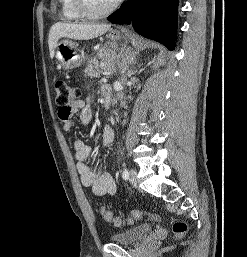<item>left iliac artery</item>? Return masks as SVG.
<instances>
[{
    "mask_svg": "<svg viewBox=\"0 0 247 257\" xmlns=\"http://www.w3.org/2000/svg\"><path fill=\"white\" fill-rule=\"evenodd\" d=\"M128 177H129V171H128L127 168H125V169L123 170V172H122V178H123L124 180H127Z\"/></svg>",
    "mask_w": 247,
    "mask_h": 257,
    "instance_id": "obj_1",
    "label": "left iliac artery"
}]
</instances>
